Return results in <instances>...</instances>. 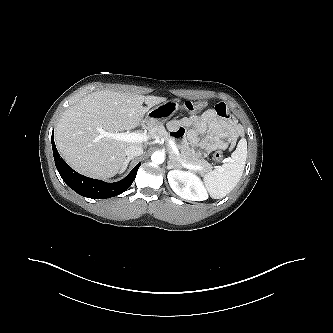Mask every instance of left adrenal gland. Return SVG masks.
<instances>
[{
	"mask_svg": "<svg viewBox=\"0 0 333 333\" xmlns=\"http://www.w3.org/2000/svg\"><path fill=\"white\" fill-rule=\"evenodd\" d=\"M176 168V166H174V164L171 161H168V165H167V169H173Z\"/></svg>",
	"mask_w": 333,
	"mask_h": 333,
	"instance_id": "a2214340",
	"label": "left adrenal gland"
}]
</instances>
